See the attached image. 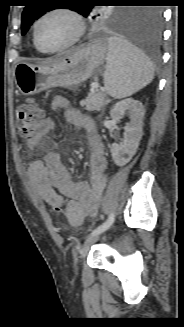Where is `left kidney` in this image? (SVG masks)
<instances>
[{"mask_svg": "<svg viewBox=\"0 0 184 327\" xmlns=\"http://www.w3.org/2000/svg\"><path fill=\"white\" fill-rule=\"evenodd\" d=\"M126 111L129 112L130 122L124 127L123 142L121 145L113 143L110 148L114 163L120 167L126 165L136 154L143 135L145 110L142 103L132 98L119 101L110 111L111 118L118 121Z\"/></svg>", "mask_w": 184, "mask_h": 327, "instance_id": "obj_1", "label": "left kidney"}]
</instances>
